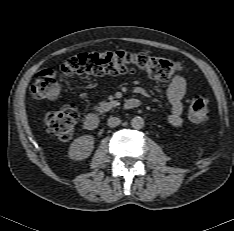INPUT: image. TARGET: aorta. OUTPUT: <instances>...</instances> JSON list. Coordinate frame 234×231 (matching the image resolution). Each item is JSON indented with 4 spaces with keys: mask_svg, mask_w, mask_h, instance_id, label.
Segmentation results:
<instances>
[{
    "mask_svg": "<svg viewBox=\"0 0 234 231\" xmlns=\"http://www.w3.org/2000/svg\"><path fill=\"white\" fill-rule=\"evenodd\" d=\"M131 126L134 129H141L144 127V119L140 116H136L131 120Z\"/></svg>",
    "mask_w": 234,
    "mask_h": 231,
    "instance_id": "762f6f07",
    "label": "aorta"
}]
</instances>
